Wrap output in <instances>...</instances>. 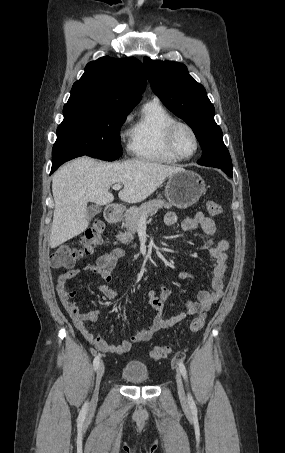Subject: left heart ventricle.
Masks as SVG:
<instances>
[{
	"mask_svg": "<svg viewBox=\"0 0 285 453\" xmlns=\"http://www.w3.org/2000/svg\"><path fill=\"white\" fill-rule=\"evenodd\" d=\"M175 146L183 155H190L195 149V142L190 132L185 128H179L175 134Z\"/></svg>",
	"mask_w": 285,
	"mask_h": 453,
	"instance_id": "1",
	"label": "left heart ventricle"
}]
</instances>
